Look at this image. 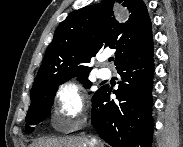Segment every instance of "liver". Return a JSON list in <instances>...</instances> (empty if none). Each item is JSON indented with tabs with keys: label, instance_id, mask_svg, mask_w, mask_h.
<instances>
[{
	"label": "liver",
	"instance_id": "6515ba94",
	"mask_svg": "<svg viewBox=\"0 0 183 147\" xmlns=\"http://www.w3.org/2000/svg\"><path fill=\"white\" fill-rule=\"evenodd\" d=\"M89 142L81 137L47 138L34 142L30 147H90Z\"/></svg>",
	"mask_w": 183,
	"mask_h": 147
}]
</instances>
